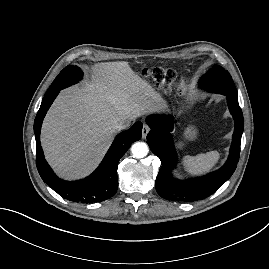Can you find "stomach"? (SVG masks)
<instances>
[{
  "instance_id": "obj_1",
  "label": "stomach",
  "mask_w": 269,
  "mask_h": 269,
  "mask_svg": "<svg viewBox=\"0 0 269 269\" xmlns=\"http://www.w3.org/2000/svg\"><path fill=\"white\" fill-rule=\"evenodd\" d=\"M197 137V130L192 127V126H189L185 129L184 131V138L186 140H194L195 138ZM179 147L182 148L183 147V144L180 143L179 144Z\"/></svg>"
}]
</instances>
